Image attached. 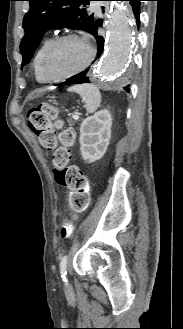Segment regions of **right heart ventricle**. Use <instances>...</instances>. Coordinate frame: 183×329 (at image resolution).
<instances>
[{"label": "right heart ventricle", "mask_w": 183, "mask_h": 329, "mask_svg": "<svg viewBox=\"0 0 183 329\" xmlns=\"http://www.w3.org/2000/svg\"><path fill=\"white\" fill-rule=\"evenodd\" d=\"M51 41L52 40L50 38L44 39L40 44V46L38 47V49L36 50L35 55L33 57L32 65H33L34 75L36 80L40 83L48 82L41 69V60L46 47L49 45Z\"/></svg>", "instance_id": "e07e8e85"}]
</instances>
